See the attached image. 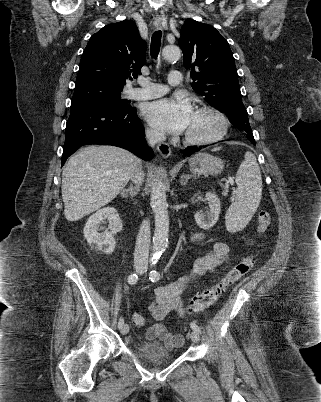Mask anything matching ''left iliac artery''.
Returning a JSON list of instances; mask_svg holds the SVG:
<instances>
[{
	"instance_id": "44dca946",
	"label": "left iliac artery",
	"mask_w": 321,
	"mask_h": 402,
	"mask_svg": "<svg viewBox=\"0 0 321 402\" xmlns=\"http://www.w3.org/2000/svg\"><path fill=\"white\" fill-rule=\"evenodd\" d=\"M149 279H150L152 282L158 281V280L160 279V274H159V272H157V271L154 270V269H153L152 271H150ZM190 326H191L192 330L197 331L198 333H201V329H200V327H199L197 324L191 323Z\"/></svg>"
}]
</instances>
